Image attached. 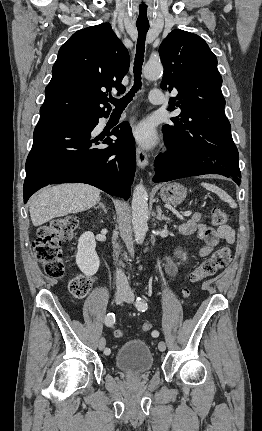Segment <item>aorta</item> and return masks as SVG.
<instances>
[{
    "label": "aorta",
    "instance_id": "obj_1",
    "mask_svg": "<svg viewBox=\"0 0 262 431\" xmlns=\"http://www.w3.org/2000/svg\"><path fill=\"white\" fill-rule=\"evenodd\" d=\"M163 73L160 62H148L143 68V75L148 80L159 78ZM148 194L142 183L136 185L132 197V225L135 241L143 243L148 230Z\"/></svg>",
    "mask_w": 262,
    "mask_h": 431
}]
</instances>
